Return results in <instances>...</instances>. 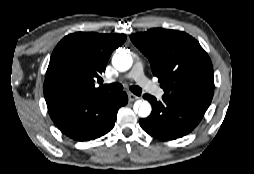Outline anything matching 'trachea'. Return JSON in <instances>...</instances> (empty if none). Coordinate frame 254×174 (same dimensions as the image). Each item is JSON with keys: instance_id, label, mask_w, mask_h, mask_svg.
Wrapping results in <instances>:
<instances>
[{"instance_id": "trachea-1", "label": "trachea", "mask_w": 254, "mask_h": 174, "mask_svg": "<svg viewBox=\"0 0 254 174\" xmlns=\"http://www.w3.org/2000/svg\"><path fill=\"white\" fill-rule=\"evenodd\" d=\"M105 87L108 88L112 93L120 92L123 89V86L119 83H112L110 85H105ZM130 90L137 96H140L142 92L141 88L138 86H131Z\"/></svg>"}]
</instances>
